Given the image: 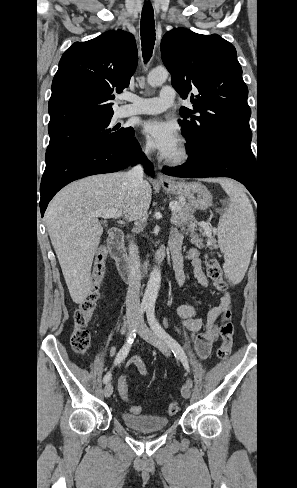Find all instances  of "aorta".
<instances>
[{"label":"aorta","instance_id":"762f6f07","mask_svg":"<svg viewBox=\"0 0 297 488\" xmlns=\"http://www.w3.org/2000/svg\"><path fill=\"white\" fill-rule=\"evenodd\" d=\"M166 68L158 67L153 69L147 76V82L153 87L162 85L168 78ZM161 283V272L159 268H154L150 273L147 287L143 296L142 304L146 307H154Z\"/></svg>","mask_w":297,"mask_h":488}]
</instances>
